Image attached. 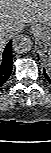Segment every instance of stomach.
<instances>
[{
  "instance_id": "0dacf381",
  "label": "stomach",
  "mask_w": 51,
  "mask_h": 153,
  "mask_svg": "<svg viewBox=\"0 0 51 153\" xmlns=\"http://www.w3.org/2000/svg\"><path fill=\"white\" fill-rule=\"evenodd\" d=\"M34 35L38 38L43 53L50 54L51 51V24L43 25L37 23L33 26Z\"/></svg>"
}]
</instances>
